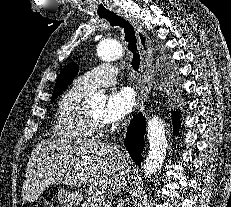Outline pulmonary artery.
<instances>
[{"mask_svg": "<svg viewBox=\"0 0 231 207\" xmlns=\"http://www.w3.org/2000/svg\"><path fill=\"white\" fill-rule=\"evenodd\" d=\"M118 70L110 63L100 64L82 74L75 80V85L86 92H92L98 87L109 86L116 81Z\"/></svg>", "mask_w": 231, "mask_h": 207, "instance_id": "pulmonary-artery-1", "label": "pulmonary artery"}]
</instances>
